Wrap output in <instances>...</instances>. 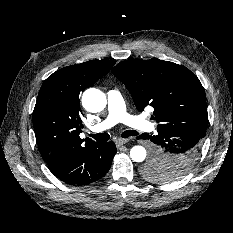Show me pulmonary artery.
<instances>
[{"label":"pulmonary artery","mask_w":233,"mask_h":233,"mask_svg":"<svg viewBox=\"0 0 233 233\" xmlns=\"http://www.w3.org/2000/svg\"><path fill=\"white\" fill-rule=\"evenodd\" d=\"M108 114L100 123L92 126L90 130L99 133L107 130L117 123L121 122L133 129L141 132H151L154 130V124L140 116L130 115L126 111L125 103L121 93L112 89L107 92Z\"/></svg>","instance_id":"1"}]
</instances>
